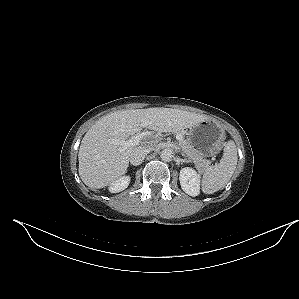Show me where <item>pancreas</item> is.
<instances>
[{
  "label": "pancreas",
  "instance_id": "1",
  "mask_svg": "<svg viewBox=\"0 0 299 299\" xmlns=\"http://www.w3.org/2000/svg\"><path fill=\"white\" fill-rule=\"evenodd\" d=\"M178 134L183 135L181 132H178ZM179 144L187 157L193 160L199 171H203L208 166L207 160L204 159V157L188 142V140H180Z\"/></svg>",
  "mask_w": 299,
  "mask_h": 299
}]
</instances>
